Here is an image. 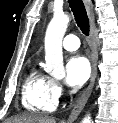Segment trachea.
<instances>
[{
  "label": "trachea",
  "instance_id": "1",
  "mask_svg": "<svg viewBox=\"0 0 118 123\" xmlns=\"http://www.w3.org/2000/svg\"><path fill=\"white\" fill-rule=\"evenodd\" d=\"M72 12L74 14L76 23L86 36L89 35V19L82 0H68Z\"/></svg>",
  "mask_w": 118,
  "mask_h": 123
}]
</instances>
